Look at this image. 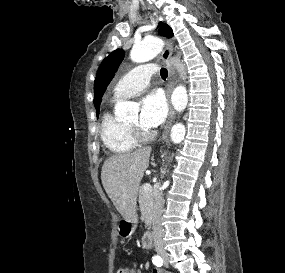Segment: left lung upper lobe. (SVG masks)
Returning a JSON list of instances; mask_svg holds the SVG:
<instances>
[{"mask_svg": "<svg viewBox=\"0 0 285 273\" xmlns=\"http://www.w3.org/2000/svg\"><path fill=\"white\" fill-rule=\"evenodd\" d=\"M160 34L166 37H172V29L167 24H161ZM124 51L117 49L113 51L108 57L104 59L102 64L99 66L97 77L94 82V105L97 110V116L99 114V106L108 84L114 77V74L124 59Z\"/></svg>", "mask_w": 285, "mask_h": 273, "instance_id": "1", "label": "left lung upper lobe"}]
</instances>
